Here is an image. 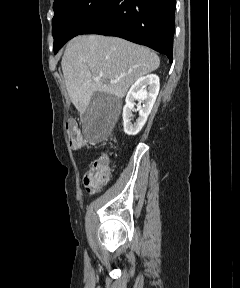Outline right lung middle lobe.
<instances>
[{
  "mask_svg": "<svg viewBox=\"0 0 240 288\" xmlns=\"http://www.w3.org/2000/svg\"><path fill=\"white\" fill-rule=\"evenodd\" d=\"M112 0H55L52 20L54 52L94 20Z\"/></svg>",
  "mask_w": 240,
  "mask_h": 288,
  "instance_id": "dd1d6c3e",
  "label": "right lung middle lobe"
}]
</instances>
